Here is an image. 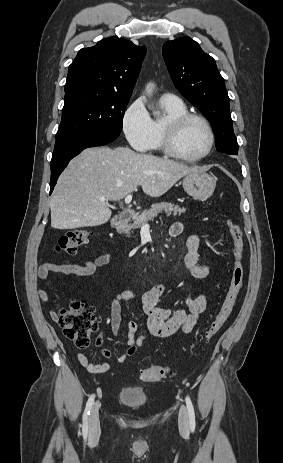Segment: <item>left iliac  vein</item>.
Segmentation results:
<instances>
[{
	"label": "left iliac vein",
	"mask_w": 283,
	"mask_h": 463,
	"mask_svg": "<svg viewBox=\"0 0 283 463\" xmlns=\"http://www.w3.org/2000/svg\"><path fill=\"white\" fill-rule=\"evenodd\" d=\"M178 421L180 429L187 431L189 427V419L187 408L184 405H181L180 407Z\"/></svg>",
	"instance_id": "1"
}]
</instances>
